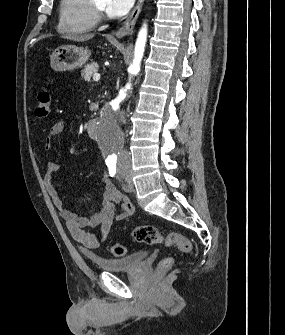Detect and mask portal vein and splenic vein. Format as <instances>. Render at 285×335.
Returning a JSON list of instances; mask_svg holds the SVG:
<instances>
[{
  "label": "portal vein and splenic vein",
  "mask_w": 285,
  "mask_h": 335,
  "mask_svg": "<svg viewBox=\"0 0 285 335\" xmlns=\"http://www.w3.org/2000/svg\"><path fill=\"white\" fill-rule=\"evenodd\" d=\"M93 80H94V82H99L100 74H93Z\"/></svg>",
  "instance_id": "obj_1"
}]
</instances>
